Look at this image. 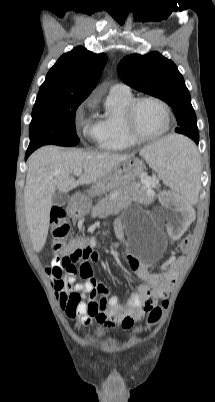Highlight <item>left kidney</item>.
<instances>
[{"instance_id":"left-kidney-1","label":"left kidney","mask_w":215,"mask_h":402,"mask_svg":"<svg viewBox=\"0 0 215 402\" xmlns=\"http://www.w3.org/2000/svg\"><path fill=\"white\" fill-rule=\"evenodd\" d=\"M161 197L163 204L169 205L168 214L174 219L166 220L164 227L170 229V235L174 236L176 240H181L185 233V226H188L193 219L192 209L188 208L186 204L179 203V194L173 191H163Z\"/></svg>"}]
</instances>
